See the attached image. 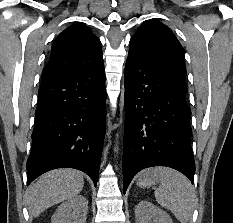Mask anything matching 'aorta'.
<instances>
[{
    "mask_svg": "<svg viewBox=\"0 0 233 223\" xmlns=\"http://www.w3.org/2000/svg\"><path fill=\"white\" fill-rule=\"evenodd\" d=\"M114 151H115V153H118V151H119L118 141H116V145H115Z\"/></svg>",
    "mask_w": 233,
    "mask_h": 223,
    "instance_id": "1",
    "label": "aorta"
}]
</instances>
